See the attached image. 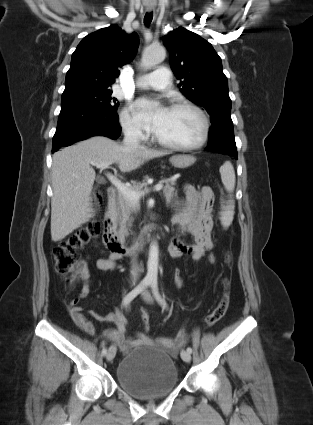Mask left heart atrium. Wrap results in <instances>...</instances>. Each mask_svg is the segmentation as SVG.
I'll return each instance as SVG.
<instances>
[{
  "label": "left heart atrium",
  "instance_id": "1",
  "mask_svg": "<svg viewBox=\"0 0 313 425\" xmlns=\"http://www.w3.org/2000/svg\"><path fill=\"white\" fill-rule=\"evenodd\" d=\"M137 107L140 119L154 132L160 129L169 110L163 106L157 107L154 102L145 99L139 100Z\"/></svg>",
  "mask_w": 313,
  "mask_h": 425
}]
</instances>
